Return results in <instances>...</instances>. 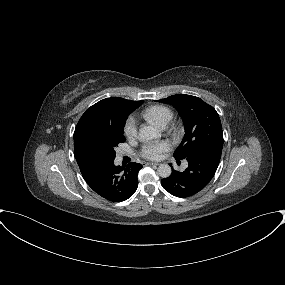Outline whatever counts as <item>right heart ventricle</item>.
I'll list each match as a JSON object with an SVG mask.
<instances>
[{
    "instance_id": "right-heart-ventricle-1",
    "label": "right heart ventricle",
    "mask_w": 285,
    "mask_h": 285,
    "mask_svg": "<svg viewBox=\"0 0 285 285\" xmlns=\"http://www.w3.org/2000/svg\"><path fill=\"white\" fill-rule=\"evenodd\" d=\"M142 116L162 127L169 123L173 117V113L171 109L166 106L154 105L143 111Z\"/></svg>"
}]
</instances>
